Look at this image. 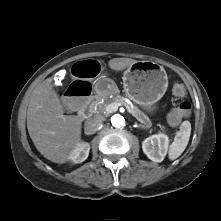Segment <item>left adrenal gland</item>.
<instances>
[{
	"label": "left adrenal gland",
	"instance_id": "left-adrenal-gland-1",
	"mask_svg": "<svg viewBox=\"0 0 221 221\" xmlns=\"http://www.w3.org/2000/svg\"><path fill=\"white\" fill-rule=\"evenodd\" d=\"M140 128H145L143 125H140Z\"/></svg>",
	"mask_w": 221,
	"mask_h": 221
}]
</instances>
